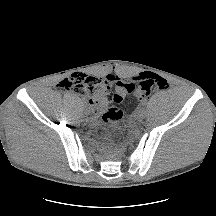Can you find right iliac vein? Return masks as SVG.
<instances>
[{
  "instance_id": "63e3f726",
  "label": "right iliac vein",
  "mask_w": 216,
  "mask_h": 216,
  "mask_svg": "<svg viewBox=\"0 0 216 216\" xmlns=\"http://www.w3.org/2000/svg\"><path fill=\"white\" fill-rule=\"evenodd\" d=\"M89 109H86L85 111H84V116H89Z\"/></svg>"
}]
</instances>
